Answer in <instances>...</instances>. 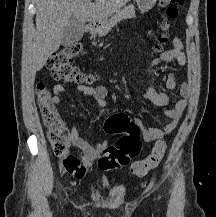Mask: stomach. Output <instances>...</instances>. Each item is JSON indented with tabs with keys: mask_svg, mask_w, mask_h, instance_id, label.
I'll return each mask as SVG.
<instances>
[{
	"mask_svg": "<svg viewBox=\"0 0 216 217\" xmlns=\"http://www.w3.org/2000/svg\"><path fill=\"white\" fill-rule=\"evenodd\" d=\"M135 1L141 13H146L149 10H151L157 2V0H135ZM95 32H98V28L95 29Z\"/></svg>",
	"mask_w": 216,
	"mask_h": 217,
	"instance_id": "stomach-1",
	"label": "stomach"
}]
</instances>
